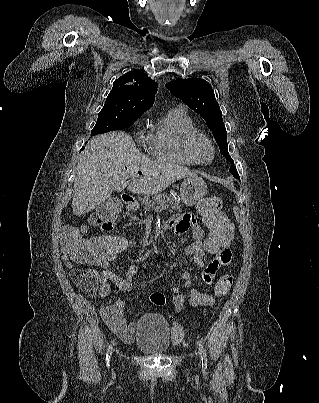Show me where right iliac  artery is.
<instances>
[{"instance_id": "1", "label": "right iliac artery", "mask_w": 319, "mask_h": 403, "mask_svg": "<svg viewBox=\"0 0 319 403\" xmlns=\"http://www.w3.org/2000/svg\"><path fill=\"white\" fill-rule=\"evenodd\" d=\"M113 342L109 345V347H108V351H107V354H106V365L109 367V361H110V358H111V354H112V348H113Z\"/></svg>"}]
</instances>
